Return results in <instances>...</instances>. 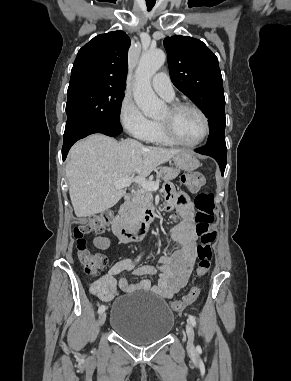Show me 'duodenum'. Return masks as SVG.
Here are the masks:
<instances>
[{
	"label": "duodenum",
	"mask_w": 291,
	"mask_h": 381,
	"mask_svg": "<svg viewBox=\"0 0 291 381\" xmlns=\"http://www.w3.org/2000/svg\"><path fill=\"white\" fill-rule=\"evenodd\" d=\"M125 203L132 200V193H126L124 196ZM125 208H121L113 217L112 231L119 237L122 243L137 242L144 238L148 232L150 225L154 219V209H147L143 219L135 225L129 224L125 220Z\"/></svg>",
	"instance_id": "410a0bca"
}]
</instances>
